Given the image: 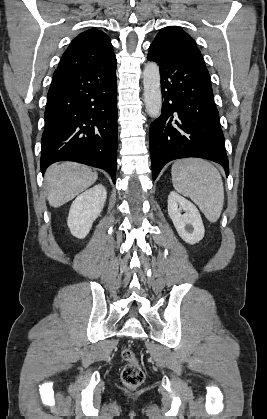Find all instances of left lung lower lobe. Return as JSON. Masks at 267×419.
Here are the masks:
<instances>
[{
	"label": "left lung lower lobe",
	"mask_w": 267,
	"mask_h": 419,
	"mask_svg": "<svg viewBox=\"0 0 267 419\" xmlns=\"http://www.w3.org/2000/svg\"><path fill=\"white\" fill-rule=\"evenodd\" d=\"M147 59L159 65L164 101L149 131L153 180L166 163L185 157L217 162L228 175L224 135L206 66L152 46Z\"/></svg>",
	"instance_id": "1"
}]
</instances>
